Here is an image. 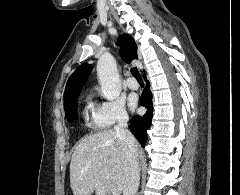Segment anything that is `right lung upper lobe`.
<instances>
[{"label":"right lung upper lobe","instance_id":"right-lung-upper-lobe-1","mask_svg":"<svg viewBox=\"0 0 240 195\" xmlns=\"http://www.w3.org/2000/svg\"><path fill=\"white\" fill-rule=\"evenodd\" d=\"M118 44L120 45V55L124 61L129 63L138 58L137 45L129 34L122 35ZM91 70V64L84 63L72 73L65 88V106L77 100Z\"/></svg>","mask_w":240,"mask_h":195}]
</instances>
